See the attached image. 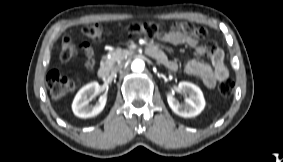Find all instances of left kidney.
Returning a JSON list of instances; mask_svg holds the SVG:
<instances>
[{
  "mask_svg": "<svg viewBox=\"0 0 283 162\" xmlns=\"http://www.w3.org/2000/svg\"><path fill=\"white\" fill-rule=\"evenodd\" d=\"M178 89L188 94L185 103L181 104L174 96L167 93V102L172 111L184 118L195 117L200 114L205 107V99L201 89L190 82L182 81L178 84Z\"/></svg>",
  "mask_w": 283,
  "mask_h": 162,
  "instance_id": "1",
  "label": "left kidney"
}]
</instances>
